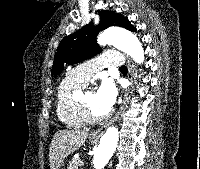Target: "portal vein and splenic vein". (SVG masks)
Returning a JSON list of instances; mask_svg holds the SVG:
<instances>
[{
    "label": "portal vein and splenic vein",
    "instance_id": "18ae733b",
    "mask_svg": "<svg viewBox=\"0 0 200 169\" xmlns=\"http://www.w3.org/2000/svg\"><path fill=\"white\" fill-rule=\"evenodd\" d=\"M83 165H84L83 161H80L79 166H83Z\"/></svg>",
    "mask_w": 200,
    "mask_h": 169
}]
</instances>
